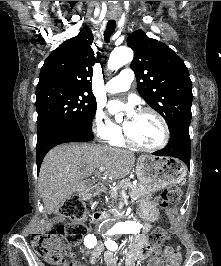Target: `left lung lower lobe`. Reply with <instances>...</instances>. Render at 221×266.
<instances>
[{
    "label": "left lung lower lobe",
    "instance_id": "1",
    "mask_svg": "<svg viewBox=\"0 0 221 266\" xmlns=\"http://www.w3.org/2000/svg\"><path fill=\"white\" fill-rule=\"evenodd\" d=\"M153 154L180 159L190 167L191 145L189 128H177L170 132V139L167 146Z\"/></svg>",
    "mask_w": 221,
    "mask_h": 266
}]
</instances>
